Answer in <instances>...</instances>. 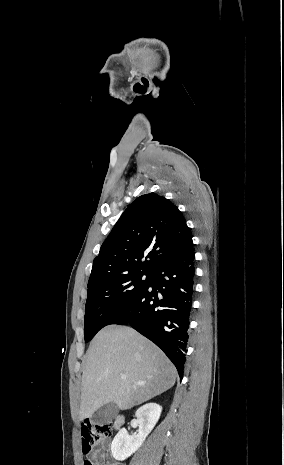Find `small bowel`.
Returning <instances> with one entry per match:
<instances>
[{
	"label": "small bowel",
	"instance_id": "obj_1",
	"mask_svg": "<svg viewBox=\"0 0 284 465\" xmlns=\"http://www.w3.org/2000/svg\"><path fill=\"white\" fill-rule=\"evenodd\" d=\"M109 454V447L106 442H102L98 445L93 458L95 460V465H106V460ZM110 465H118L117 462H113Z\"/></svg>",
	"mask_w": 284,
	"mask_h": 465
}]
</instances>
